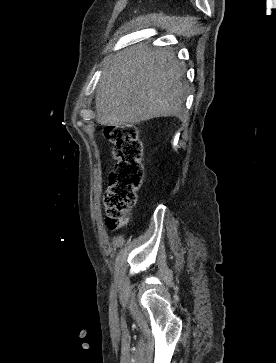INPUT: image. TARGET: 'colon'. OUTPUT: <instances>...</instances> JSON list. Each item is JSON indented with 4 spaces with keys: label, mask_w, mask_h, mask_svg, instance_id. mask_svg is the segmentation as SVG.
<instances>
[{
    "label": "colon",
    "mask_w": 276,
    "mask_h": 363,
    "mask_svg": "<svg viewBox=\"0 0 276 363\" xmlns=\"http://www.w3.org/2000/svg\"><path fill=\"white\" fill-rule=\"evenodd\" d=\"M105 135L113 143L115 159L104 196L105 224L109 230L116 231L127 225V216L136 204L144 175L142 144L132 125L106 127Z\"/></svg>",
    "instance_id": "5ec220e1"
}]
</instances>
